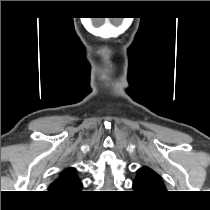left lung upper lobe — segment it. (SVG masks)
<instances>
[{
	"mask_svg": "<svg viewBox=\"0 0 210 210\" xmlns=\"http://www.w3.org/2000/svg\"><path fill=\"white\" fill-rule=\"evenodd\" d=\"M134 190L148 194L157 195L166 192V187L160 175L147 166L137 170V175L133 181Z\"/></svg>",
	"mask_w": 210,
	"mask_h": 210,
	"instance_id": "1",
	"label": "left lung upper lobe"
}]
</instances>
